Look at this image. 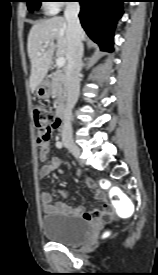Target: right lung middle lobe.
<instances>
[{
    "label": "right lung middle lobe",
    "instance_id": "1",
    "mask_svg": "<svg viewBox=\"0 0 158 275\" xmlns=\"http://www.w3.org/2000/svg\"><path fill=\"white\" fill-rule=\"evenodd\" d=\"M28 10L32 12L33 10H37L40 7L41 0H26Z\"/></svg>",
    "mask_w": 158,
    "mask_h": 275
}]
</instances>
